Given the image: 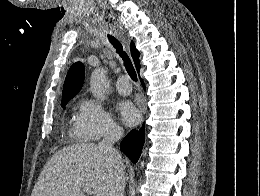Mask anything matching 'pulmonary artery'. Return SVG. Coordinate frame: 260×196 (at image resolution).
Returning a JSON list of instances; mask_svg holds the SVG:
<instances>
[{
  "label": "pulmonary artery",
  "mask_w": 260,
  "mask_h": 196,
  "mask_svg": "<svg viewBox=\"0 0 260 196\" xmlns=\"http://www.w3.org/2000/svg\"><path fill=\"white\" fill-rule=\"evenodd\" d=\"M114 83L117 84V91L121 94L127 95L133 90V85H130V81H127L124 76H119Z\"/></svg>",
  "instance_id": "e3ab8cb5"
}]
</instances>
